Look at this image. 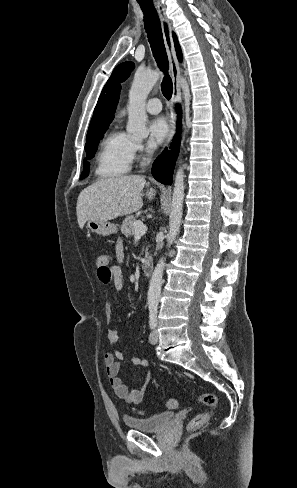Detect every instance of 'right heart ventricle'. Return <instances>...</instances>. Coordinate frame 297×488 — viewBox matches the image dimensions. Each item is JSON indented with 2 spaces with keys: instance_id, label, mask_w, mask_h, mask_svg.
<instances>
[{
  "instance_id": "obj_1",
  "label": "right heart ventricle",
  "mask_w": 297,
  "mask_h": 488,
  "mask_svg": "<svg viewBox=\"0 0 297 488\" xmlns=\"http://www.w3.org/2000/svg\"><path fill=\"white\" fill-rule=\"evenodd\" d=\"M130 137L111 131L102 140L97 156L95 173L101 178H116L128 172L131 165Z\"/></svg>"
}]
</instances>
